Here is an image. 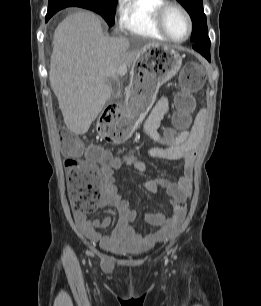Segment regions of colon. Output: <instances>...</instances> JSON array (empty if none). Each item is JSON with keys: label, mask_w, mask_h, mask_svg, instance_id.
Masks as SVG:
<instances>
[{"label": "colon", "mask_w": 261, "mask_h": 306, "mask_svg": "<svg viewBox=\"0 0 261 306\" xmlns=\"http://www.w3.org/2000/svg\"><path fill=\"white\" fill-rule=\"evenodd\" d=\"M205 78L203 67L195 61L187 63L178 78L179 95L178 101L181 107L177 114L179 127L185 128L189 124L188 111L193 105L192 95L200 89ZM102 133L109 141L121 142L131 135V128L118 121H109L102 125ZM62 147L68 156H75L81 150L80 141L71 134L62 137ZM92 159L103 158L104 153L99 148L89 150ZM68 190L72 207L77 211H86L92 205V198L100 188L99 174L92 164L74 166L67 177Z\"/></svg>", "instance_id": "obj_1"}]
</instances>
